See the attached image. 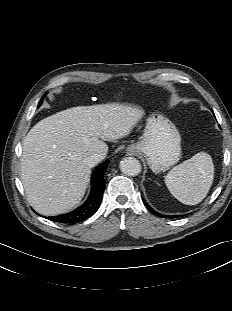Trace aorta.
Listing matches in <instances>:
<instances>
[{
	"instance_id": "aorta-1",
	"label": "aorta",
	"mask_w": 232,
	"mask_h": 311,
	"mask_svg": "<svg viewBox=\"0 0 232 311\" xmlns=\"http://www.w3.org/2000/svg\"><path fill=\"white\" fill-rule=\"evenodd\" d=\"M120 170L127 176H136L141 172V163L134 157H126L120 161Z\"/></svg>"
}]
</instances>
